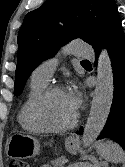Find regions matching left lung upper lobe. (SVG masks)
<instances>
[{
	"instance_id": "5c2ea615",
	"label": "left lung upper lobe",
	"mask_w": 125,
	"mask_h": 167,
	"mask_svg": "<svg viewBox=\"0 0 125 167\" xmlns=\"http://www.w3.org/2000/svg\"><path fill=\"white\" fill-rule=\"evenodd\" d=\"M114 0H46L29 12L18 33L14 94L18 96L31 72L72 39L94 46L119 18Z\"/></svg>"
}]
</instances>
